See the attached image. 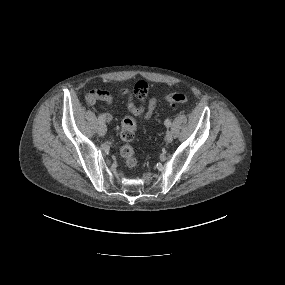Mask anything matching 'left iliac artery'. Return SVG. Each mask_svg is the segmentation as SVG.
Masks as SVG:
<instances>
[{"label":"left iliac artery","instance_id":"obj_1","mask_svg":"<svg viewBox=\"0 0 285 285\" xmlns=\"http://www.w3.org/2000/svg\"><path fill=\"white\" fill-rule=\"evenodd\" d=\"M164 124L166 127H170L171 122H170V120L167 119V120H165Z\"/></svg>","mask_w":285,"mask_h":285}]
</instances>
